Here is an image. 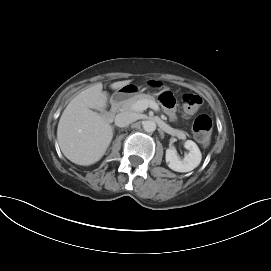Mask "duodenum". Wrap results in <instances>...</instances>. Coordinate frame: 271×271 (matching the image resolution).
<instances>
[{
    "label": "duodenum",
    "mask_w": 271,
    "mask_h": 271,
    "mask_svg": "<svg viewBox=\"0 0 271 271\" xmlns=\"http://www.w3.org/2000/svg\"><path fill=\"white\" fill-rule=\"evenodd\" d=\"M123 99H124V94H122V93H117L112 97L111 106H110V109L107 113V117L109 119H111L115 116Z\"/></svg>",
    "instance_id": "410a0bca"
}]
</instances>
